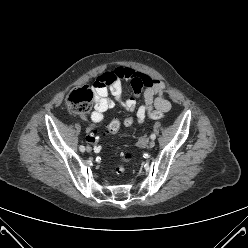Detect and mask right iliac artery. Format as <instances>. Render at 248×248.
<instances>
[{
    "mask_svg": "<svg viewBox=\"0 0 248 248\" xmlns=\"http://www.w3.org/2000/svg\"><path fill=\"white\" fill-rule=\"evenodd\" d=\"M79 149H80L81 152H84V151H85V147H84L83 145H81V146L79 147Z\"/></svg>",
    "mask_w": 248,
    "mask_h": 248,
    "instance_id": "obj_1",
    "label": "right iliac artery"
}]
</instances>
